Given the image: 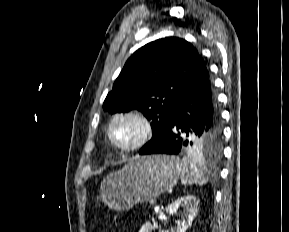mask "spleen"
<instances>
[{"label":"spleen","instance_id":"3e777b00","mask_svg":"<svg viewBox=\"0 0 289 232\" xmlns=\"http://www.w3.org/2000/svg\"><path fill=\"white\" fill-rule=\"evenodd\" d=\"M179 172L183 184L203 185L207 182L201 165L192 159L184 158L179 165Z\"/></svg>","mask_w":289,"mask_h":232}]
</instances>
